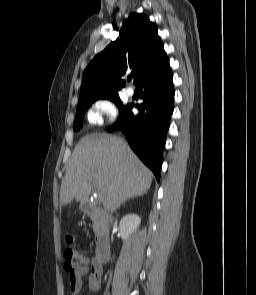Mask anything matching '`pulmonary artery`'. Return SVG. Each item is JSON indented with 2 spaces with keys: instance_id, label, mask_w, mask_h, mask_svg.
<instances>
[{
  "instance_id": "obj_1",
  "label": "pulmonary artery",
  "mask_w": 256,
  "mask_h": 295,
  "mask_svg": "<svg viewBox=\"0 0 256 295\" xmlns=\"http://www.w3.org/2000/svg\"><path fill=\"white\" fill-rule=\"evenodd\" d=\"M125 91H126V94L129 96H132L134 94V89L132 87H127Z\"/></svg>"
}]
</instances>
